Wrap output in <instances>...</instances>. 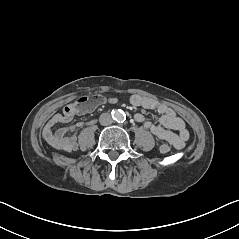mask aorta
<instances>
[{
    "instance_id": "obj_1",
    "label": "aorta",
    "mask_w": 239,
    "mask_h": 239,
    "mask_svg": "<svg viewBox=\"0 0 239 239\" xmlns=\"http://www.w3.org/2000/svg\"><path fill=\"white\" fill-rule=\"evenodd\" d=\"M113 116L114 120L117 122H123L125 120V115L123 112L116 111Z\"/></svg>"
}]
</instances>
